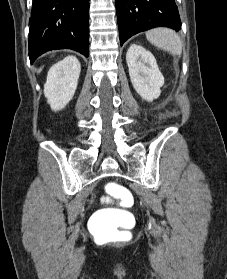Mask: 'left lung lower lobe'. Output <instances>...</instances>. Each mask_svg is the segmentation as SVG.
<instances>
[{
    "label": "left lung lower lobe",
    "instance_id": "1",
    "mask_svg": "<svg viewBox=\"0 0 227 279\" xmlns=\"http://www.w3.org/2000/svg\"><path fill=\"white\" fill-rule=\"evenodd\" d=\"M120 44L139 32L155 27L181 29L174 0H115Z\"/></svg>",
    "mask_w": 227,
    "mask_h": 279
}]
</instances>
